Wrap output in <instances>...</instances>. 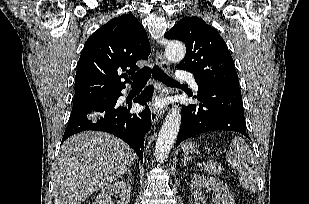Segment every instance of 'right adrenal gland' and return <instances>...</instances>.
<instances>
[{"label":"right adrenal gland","mask_w":309,"mask_h":204,"mask_svg":"<svg viewBox=\"0 0 309 204\" xmlns=\"http://www.w3.org/2000/svg\"><path fill=\"white\" fill-rule=\"evenodd\" d=\"M128 175L131 176V170L130 169L128 170Z\"/></svg>","instance_id":"1"}]
</instances>
